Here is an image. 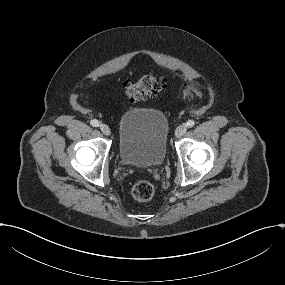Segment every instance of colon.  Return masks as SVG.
Listing matches in <instances>:
<instances>
[{
	"label": "colon",
	"instance_id": "1",
	"mask_svg": "<svg viewBox=\"0 0 285 285\" xmlns=\"http://www.w3.org/2000/svg\"><path fill=\"white\" fill-rule=\"evenodd\" d=\"M168 79L165 76L153 74L142 75L136 81H128L125 84V96L128 102L135 103L155 96L160 90L167 86ZM185 95L189 100L200 99L201 91L193 85H185ZM155 194L154 185L145 180L134 183L131 195L138 202H148Z\"/></svg>",
	"mask_w": 285,
	"mask_h": 285
}]
</instances>
